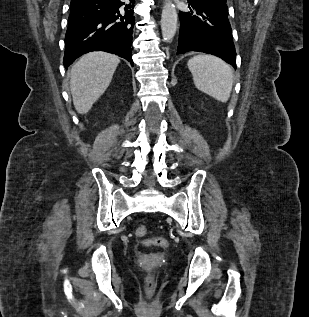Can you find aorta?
I'll return each instance as SVG.
<instances>
[{
  "label": "aorta",
  "instance_id": "1",
  "mask_svg": "<svg viewBox=\"0 0 309 317\" xmlns=\"http://www.w3.org/2000/svg\"><path fill=\"white\" fill-rule=\"evenodd\" d=\"M161 30L165 41H171L177 30V11L175 5L167 0L161 15Z\"/></svg>",
  "mask_w": 309,
  "mask_h": 317
}]
</instances>
